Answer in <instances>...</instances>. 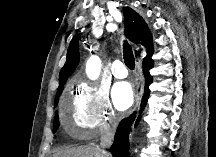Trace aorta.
Masks as SVG:
<instances>
[{
	"label": "aorta",
	"mask_w": 216,
	"mask_h": 157,
	"mask_svg": "<svg viewBox=\"0 0 216 157\" xmlns=\"http://www.w3.org/2000/svg\"><path fill=\"white\" fill-rule=\"evenodd\" d=\"M101 71V60L98 56L93 55L87 62L86 73L88 77L92 80L98 78Z\"/></svg>",
	"instance_id": "762f6f07"
}]
</instances>
